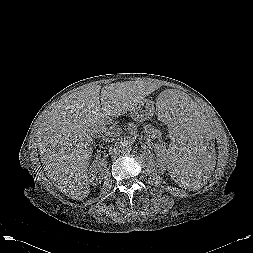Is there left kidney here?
<instances>
[{"instance_id":"obj_1","label":"left kidney","mask_w":253,"mask_h":253,"mask_svg":"<svg viewBox=\"0 0 253 253\" xmlns=\"http://www.w3.org/2000/svg\"><path fill=\"white\" fill-rule=\"evenodd\" d=\"M144 133L151 136V138H160L161 132L158 129H155L152 126H146L144 128ZM158 148L161 150L162 154H166L165 152V145L163 143H160L158 145ZM189 181H186L185 184L188 185Z\"/></svg>"}]
</instances>
